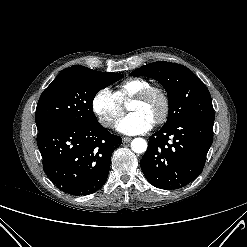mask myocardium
<instances>
[{
    "label": "myocardium",
    "mask_w": 247,
    "mask_h": 247,
    "mask_svg": "<svg viewBox=\"0 0 247 247\" xmlns=\"http://www.w3.org/2000/svg\"><path fill=\"white\" fill-rule=\"evenodd\" d=\"M159 96L162 100V111L160 115L157 117V119L154 121L156 125L164 123L169 114H170V109H171V100L169 97V94L167 91L161 87L158 86H149L139 93H137L133 98L132 101H137V102H144L150 99L153 96Z\"/></svg>",
    "instance_id": "myocardium-1"
}]
</instances>
